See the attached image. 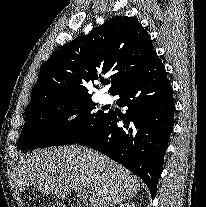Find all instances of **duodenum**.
Listing matches in <instances>:
<instances>
[{"mask_svg": "<svg viewBox=\"0 0 206 207\" xmlns=\"http://www.w3.org/2000/svg\"><path fill=\"white\" fill-rule=\"evenodd\" d=\"M74 203H75L74 201H70L67 203V205L74 204Z\"/></svg>", "mask_w": 206, "mask_h": 207, "instance_id": "410a0bca", "label": "duodenum"}]
</instances>
